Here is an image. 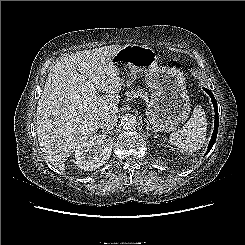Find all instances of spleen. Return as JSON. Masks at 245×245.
<instances>
[{
    "instance_id": "obj_1",
    "label": "spleen",
    "mask_w": 245,
    "mask_h": 245,
    "mask_svg": "<svg viewBox=\"0 0 245 245\" xmlns=\"http://www.w3.org/2000/svg\"><path fill=\"white\" fill-rule=\"evenodd\" d=\"M207 121L201 106H196L185 126L171 133L170 141L186 152H196L205 143Z\"/></svg>"
}]
</instances>
